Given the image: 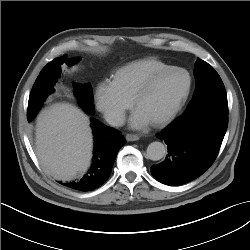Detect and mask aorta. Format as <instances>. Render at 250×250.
<instances>
[{"mask_svg": "<svg viewBox=\"0 0 250 250\" xmlns=\"http://www.w3.org/2000/svg\"><path fill=\"white\" fill-rule=\"evenodd\" d=\"M166 154V148L161 142H152L147 147V157L150 160L158 161L162 159Z\"/></svg>", "mask_w": 250, "mask_h": 250, "instance_id": "obj_1", "label": "aorta"}]
</instances>
